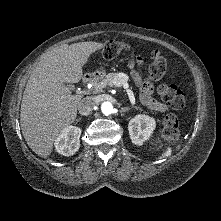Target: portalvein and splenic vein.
Returning <instances> with one entry per match:
<instances>
[{"label":"portal vein and splenic vein","mask_w":221,"mask_h":221,"mask_svg":"<svg viewBox=\"0 0 221 221\" xmlns=\"http://www.w3.org/2000/svg\"><path fill=\"white\" fill-rule=\"evenodd\" d=\"M115 85H116L117 87L123 86V88L126 90L128 96H129V99H130L131 104L134 105V104H135V97H134L133 92L129 89L128 83H126L125 81H122V80H119V79H118V80L115 81Z\"/></svg>","instance_id":"obj_1"}]
</instances>
